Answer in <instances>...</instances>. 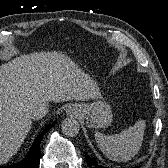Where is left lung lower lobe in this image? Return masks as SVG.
I'll use <instances>...</instances> for the list:
<instances>
[{"mask_svg": "<svg viewBox=\"0 0 168 168\" xmlns=\"http://www.w3.org/2000/svg\"><path fill=\"white\" fill-rule=\"evenodd\" d=\"M85 157H86L89 168H104L102 165L98 164V162L96 161L94 157L87 155L86 153H85ZM134 168H140V166H135Z\"/></svg>", "mask_w": 168, "mask_h": 168, "instance_id": "1", "label": "left lung lower lobe"}]
</instances>
